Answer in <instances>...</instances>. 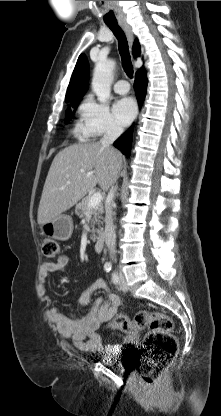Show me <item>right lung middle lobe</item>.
<instances>
[{
	"mask_svg": "<svg viewBox=\"0 0 221 416\" xmlns=\"http://www.w3.org/2000/svg\"><path fill=\"white\" fill-rule=\"evenodd\" d=\"M79 101L80 100H78V101H74V102H71L70 103V106L71 107H75V106H77L78 104H79ZM72 114V111H71V108L69 107L68 109H67V116H70Z\"/></svg>",
	"mask_w": 221,
	"mask_h": 416,
	"instance_id": "right-lung-middle-lobe-1",
	"label": "right lung middle lobe"
}]
</instances>
